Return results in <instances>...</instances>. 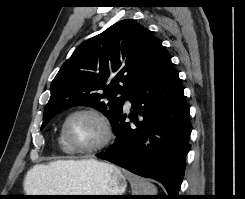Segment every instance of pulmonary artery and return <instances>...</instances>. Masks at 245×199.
I'll use <instances>...</instances> for the list:
<instances>
[{
	"mask_svg": "<svg viewBox=\"0 0 245 199\" xmlns=\"http://www.w3.org/2000/svg\"><path fill=\"white\" fill-rule=\"evenodd\" d=\"M126 104H127V106H129V105H130V102H129V101H127V102H126Z\"/></svg>",
	"mask_w": 245,
	"mask_h": 199,
	"instance_id": "1",
	"label": "pulmonary artery"
}]
</instances>
